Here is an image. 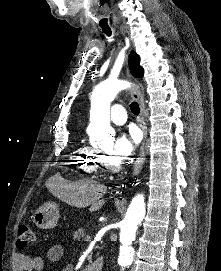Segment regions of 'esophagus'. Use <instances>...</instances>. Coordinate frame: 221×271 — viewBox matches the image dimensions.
<instances>
[{
    "label": "esophagus",
    "instance_id": "1",
    "mask_svg": "<svg viewBox=\"0 0 221 271\" xmlns=\"http://www.w3.org/2000/svg\"><path fill=\"white\" fill-rule=\"evenodd\" d=\"M127 75L130 77L129 70H127ZM133 98L139 103L140 106V117H139V126L141 127L144 137L142 141V145L140 148V152L138 155V158L136 160V164L134 166L133 175H138L140 173L143 164L145 162V156H146V140H147V125L145 123V105H144V99L143 95L140 90L133 92Z\"/></svg>",
    "mask_w": 221,
    "mask_h": 271
}]
</instances>
